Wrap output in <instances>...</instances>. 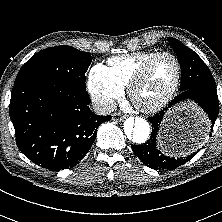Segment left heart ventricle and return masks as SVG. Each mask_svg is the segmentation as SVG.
Here are the masks:
<instances>
[{
    "label": "left heart ventricle",
    "instance_id": "b2bd125f",
    "mask_svg": "<svg viewBox=\"0 0 222 222\" xmlns=\"http://www.w3.org/2000/svg\"><path fill=\"white\" fill-rule=\"evenodd\" d=\"M176 77V64L169 57L154 62L136 90V100L142 105L158 101L170 89Z\"/></svg>",
    "mask_w": 222,
    "mask_h": 222
}]
</instances>
